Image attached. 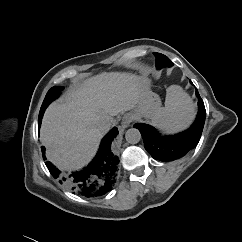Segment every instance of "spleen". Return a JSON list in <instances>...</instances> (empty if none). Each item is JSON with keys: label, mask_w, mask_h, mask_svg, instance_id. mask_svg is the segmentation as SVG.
<instances>
[{"label": "spleen", "mask_w": 242, "mask_h": 242, "mask_svg": "<svg viewBox=\"0 0 242 242\" xmlns=\"http://www.w3.org/2000/svg\"><path fill=\"white\" fill-rule=\"evenodd\" d=\"M192 106L189 98L177 86H171L166 94L165 106L157 107L152 120L170 132L183 128L190 120Z\"/></svg>", "instance_id": "1"}]
</instances>
